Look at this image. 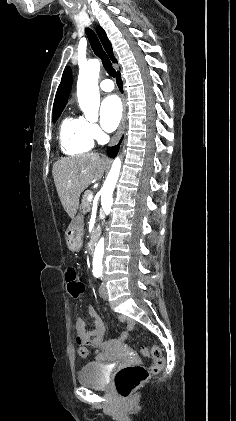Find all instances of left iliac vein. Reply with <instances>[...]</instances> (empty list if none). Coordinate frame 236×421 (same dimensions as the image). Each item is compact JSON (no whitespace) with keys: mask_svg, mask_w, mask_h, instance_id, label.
I'll return each instance as SVG.
<instances>
[{"mask_svg":"<svg viewBox=\"0 0 236 421\" xmlns=\"http://www.w3.org/2000/svg\"><path fill=\"white\" fill-rule=\"evenodd\" d=\"M99 292L102 298L104 299L108 298V293H107V289L105 287L104 281L100 285Z\"/></svg>","mask_w":236,"mask_h":421,"instance_id":"obj_1","label":"left iliac vein"}]
</instances>
